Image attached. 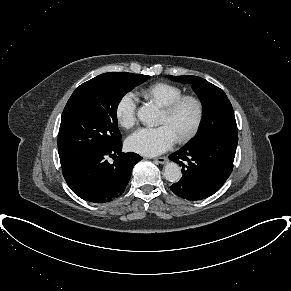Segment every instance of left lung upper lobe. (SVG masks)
Instances as JSON below:
<instances>
[{
	"instance_id": "1",
	"label": "left lung upper lobe",
	"mask_w": 291,
	"mask_h": 291,
	"mask_svg": "<svg viewBox=\"0 0 291 291\" xmlns=\"http://www.w3.org/2000/svg\"><path fill=\"white\" fill-rule=\"evenodd\" d=\"M166 77L173 81L192 84V88L201 98L203 104L201 126L189 144L199 143L217 134H238L232 105L222 89L197 76Z\"/></svg>"
}]
</instances>
